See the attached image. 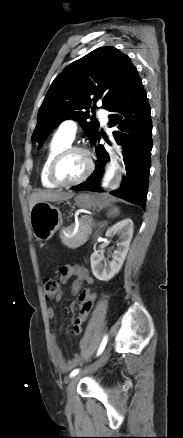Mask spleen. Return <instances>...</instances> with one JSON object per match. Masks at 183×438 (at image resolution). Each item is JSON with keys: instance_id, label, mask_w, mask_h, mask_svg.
<instances>
[{"instance_id": "1", "label": "spleen", "mask_w": 183, "mask_h": 438, "mask_svg": "<svg viewBox=\"0 0 183 438\" xmlns=\"http://www.w3.org/2000/svg\"><path fill=\"white\" fill-rule=\"evenodd\" d=\"M118 208L114 207L110 212L109 215H115L116 213H118Z\"/></svg>"}]
</instances>
